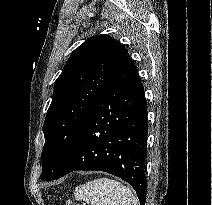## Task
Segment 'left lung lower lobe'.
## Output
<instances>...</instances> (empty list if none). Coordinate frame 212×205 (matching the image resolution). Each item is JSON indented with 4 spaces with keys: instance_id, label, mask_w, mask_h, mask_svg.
Instances as JSON below:
<instances>
[{
    "instance_id": "left-lung-lower-lobe-1",
    "label": "left lung lower lobe",
    "mask_w": 212,
    "mask_h": 205,
    "mask_svg": "<svg viewBox=\"0 0 212 205\" xmlns=\"http://www.w3.org/2000/svg\"><path fill=\"white\" fill-rule=\"evenodd\" d=\"M148 119L143 84L127 54L88 115L58 179L75 170H96L128 182L145 204Z\"/></svg>"
}]
</instances>
